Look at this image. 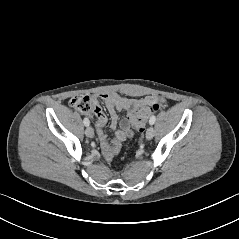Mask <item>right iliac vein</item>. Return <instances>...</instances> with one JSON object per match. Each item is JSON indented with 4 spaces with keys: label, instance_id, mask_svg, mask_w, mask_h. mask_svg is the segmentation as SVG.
<instances>
[{
    "label": "right iliac vein",
    "instance_id": "right-iliac-vein-1",
    "mask_svg": "<svg viewBox=\"0 0 239 239\" xmlns=\"http://www.w3.org/2000/svg\"><path fill=\"white\" fill-rule=\"evenodd\" d=\"M86 136L92 138L94 136V130L92 127L88 126L85 130Z\"/></svg>",
    "mask_w": 239,
    "mask_h": 239
}]
</instances>
